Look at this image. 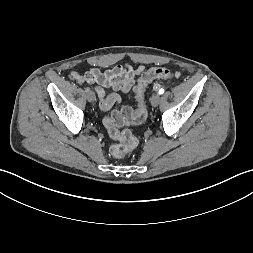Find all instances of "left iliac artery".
Masks as SVG:
<instances>
[{
	"label": "left iliac artery",
	"mask_w": 253,
	"mask_h": 253,
	"mask_svg": "<svg viewBox=\"0 0 253 253\" xmlns=\"http://www.w3.org/2000/svg\"><path fill=\"white\" fill-rule=\"evenodd\" d=\"M159 94H163L164 93V89L163 88H161L160 90H159V92H158Z\"/></svg>",
	"instance_id": "obj_1"
}]
</instances>
